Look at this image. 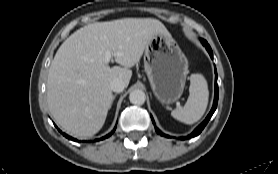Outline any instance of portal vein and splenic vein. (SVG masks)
<instances>
[{"mask_svg": "<svg viewBox=\"0 0 278 174\" xmlns=\"http://www.w3.org/2000/svg\"><path fill=\"white\" fill-rule=\"evenodd\" d=\"M111 58H112V55H111V53L108 51V52H106V55H105V61L107 62V63H109L110 62V60H111Z\"/></svg>", "mask_w": 278, "mask_h": 174, "instance_id": "1", "label": "portal vein and splenic vein"}]
</instances>
